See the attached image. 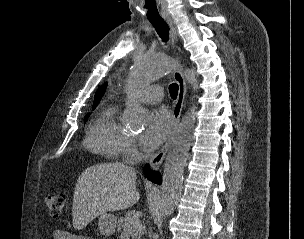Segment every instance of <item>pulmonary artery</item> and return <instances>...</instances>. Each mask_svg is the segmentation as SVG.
Returning <instances> with one entry per match:
<instances>
[{
    "label": "pulmonary artery",
    "instance_id": "obj_1",
    "mask_svg": "<svg viewBox=\"0 0 304 239\" xmlns=\"http://www.w3.org/2000/svg\"><path fill=\"white\" fill-rule=\"evenodd\" d=\"M137 98L146 104H156L162 101L163 90L159 86L146 87L138 93Z\"/></svg>",
    "mask_w": 304,
    "mask_h": 239
}]
</instances>
